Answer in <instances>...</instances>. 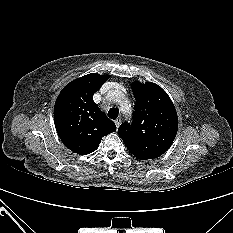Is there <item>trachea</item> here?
<instances>
[{"label":"trachea","mask_w":233,"mask_h":233,"mask_svg":"<svg viewBox=\"0 0 233 233\" xmlns=\"http://www.w3.org/2000/svg\"><path fill=\"white\" fill-rule=\"evenodd\" d=\"M118 114H119V110L117 108H111L108 111L109 118H111L113 120H115L118 117Z\"/></svg>","instance_id":"obj_1"}]
</instances>
